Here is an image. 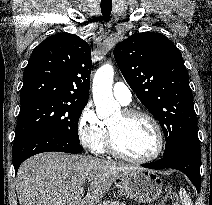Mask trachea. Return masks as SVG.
<instances>
[{"label":"trachea","mask_w":212,"mask_h":205,"mask_svg":"<svg viewBox=\"0 0 212 205\" xmlns=\"http://www.w3.org/2000/svg\"><path fill=\"white\" fill-rule=\"evenodd\" d=\"M101 11H102L104 19L107 20L112 11V4H107V5L101 4Z\"/></svg>","instance_id":"trachea-1"}]
</instances>
